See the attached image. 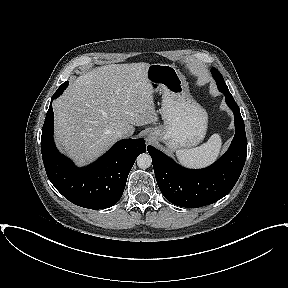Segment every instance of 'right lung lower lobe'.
Wrapping results in <instances>:
<instances>
[{
    "mask_svg": "<svg viewBox=\"0 0 288 288\" xmlns=\"http://www.w3.org/2000/svg\"><path fill=\"white\" fill-rule=\"evenodd\" d=\"M62 93H55L52 100ZM53 121L51 103L42 128L41 151L47 176L54 187L70 202L88 209H104L116 204L137 156L146 151L144 140H121L95 163L78 168L56 149Z\"/></svg>",
    "mask_w": 288,
    "mask_h": 288,
    "instance_id": "right-lung-lower-lobe-1",
    "label": "right lung lower lobe"
}]
</instances>
